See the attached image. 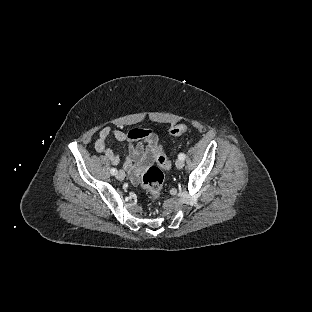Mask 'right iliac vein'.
<instances>
[{
    "label": "right iliac vein",
    "mask_w": 312,
    "mask_h": 312,
    "mask_svg": "<svg viewBox=\"0 0 312 312\" xmlns=\"http://www.w3.org/2000/svg\"><path fill=\"white\" fill-rule=\"evenodd\" d=\"M125 178V172L123 170H120L118 173H117V179L119 180H123Z\"/></svg>",
    "instance_id": "63e3f726"
}]
</instances>
